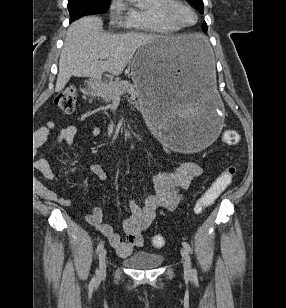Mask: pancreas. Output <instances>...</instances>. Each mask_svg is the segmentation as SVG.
Here are the masks:
<instances>
[{
	"label": "pancreas",
	"mask_w": 286,
	"mask_h": 308,
	"mask_svg": "<svg viewBox=\"0 0 286 308\" xmlns=\"http://www.w3.org/2000/svg\"><path fill=\"white\" fill-rule=\"evenodd\" d=\"M129 94L132 99L140 98L141 92L129 81L117 79L113 83L99 88V96L106 103L114 101L118 96Z\"/></svg>",
	"instance_id": "pancreas-1"
}]
</instances>
